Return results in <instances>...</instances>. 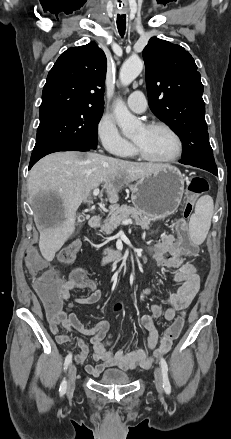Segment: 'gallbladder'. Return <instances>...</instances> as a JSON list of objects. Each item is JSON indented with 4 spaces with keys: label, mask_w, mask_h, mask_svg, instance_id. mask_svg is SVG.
Instances as JSON below:
<instances>
[{
    "label": "gallbladder",
    "mask_w": 231,
    "mask_h": 439,
    "mask_svg": "<svg viewBox=\"0 0 231 439\" xmlns=\"http://www.w3.org/2000/svg\"><path fill=\"white\" fill-rule=\"evenodd\" d=\"M84 220H85L84 216L79 215V217H78V222H82V221H84Z\"/></svg>",
    "instance_id": "bac80fb5"
}]
</instances>
